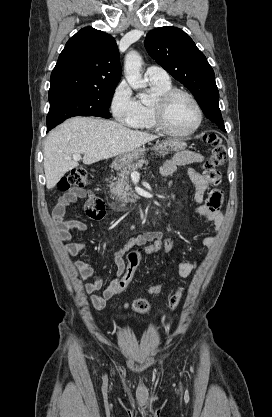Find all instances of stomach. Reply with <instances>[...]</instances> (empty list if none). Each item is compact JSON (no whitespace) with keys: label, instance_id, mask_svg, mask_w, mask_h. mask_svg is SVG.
I'll list each match as a JSON object with an SVG mask.
<instances>
[{"label":"stomach","instance_id":"stomach-1","mask_svg":"<svg viewBox=\"0 0 272 417\" xmlns=\"http://www.w3.org/2000/svg\"><path fill=\"white\" fill-rule=\"evenodd\" d=\"M185 143L181 141H162L157 143L152 149L156 152L157 155L164 156L171 151H178L185 148ZM146 148L145 146L136 148L130 152L123 153L119 155L114 161L113 166L116 169H121L140 157L145 155Z\"/></svg>","mask_w":272,"mask_h":417}]
</instances>
